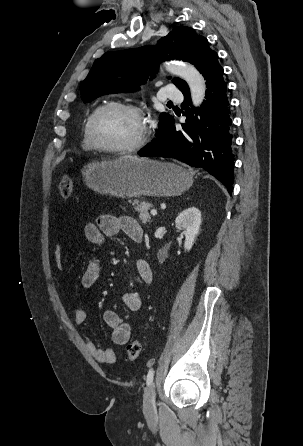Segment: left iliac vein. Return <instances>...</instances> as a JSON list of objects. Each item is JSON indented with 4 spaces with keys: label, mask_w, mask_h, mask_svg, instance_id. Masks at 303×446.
<instances>
[{
    "label": "left iliac vein",
    "mask_w": 303,
    "mask_h": 446,
    "mask_svg": "<svg viewBox=\"0 0 303 446\" xmlns=\"http://www.w3.org/2000/svg\"><path fill=\"white\" fill-rule=\"evenodd\" d=\"M155 386L151 384L144 393L143 408L146 413H151L155 409Z\"/></svg>",
    "instance_id": "obj_1"
}]
</instances>
